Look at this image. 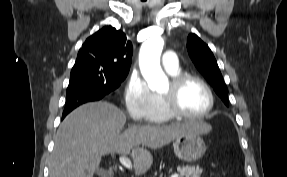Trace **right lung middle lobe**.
Listing matches in <instances>:
<instances>
[{
	"mask_svg": "<svg viewBox=\"0 0 287 177\" xmlns=\"http://www.w3.org/2000/svg\"><path fill=\"white\" fill-rule=\"evenodd\" d=\"M128 73L112 72L99 67L75 66L71 70L67 89L80 86L102 87L107 92L116 91Z\"/></svg>",
	"mask_w": 287,
	"mask_h": 177,
	"instance_id": "1",
	"label": "right lung middle lobe"
}]
</instances>
